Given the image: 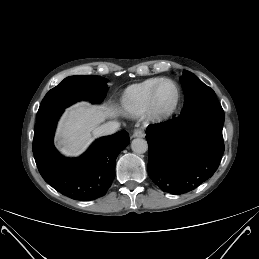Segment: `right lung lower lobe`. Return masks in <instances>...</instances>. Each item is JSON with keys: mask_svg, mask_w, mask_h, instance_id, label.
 I'll list each match as a JSON object with an SVG mask.
<instances>
[{"mask_svg": "<svg viewBox=\"0 0 259 259\" xmlns=\"http://www.w3.org/2000/svg\"><path fill=\"white\" fill-rule=\"evenodd\" d=\"M64 109L39 118L34 130L33 154L44 180L61 194L80 201L95 200L107 192L115 177L118 154L130 143L126 131L102 137L80 158L66 159L53 145L57 120Z\"/></svg>", "mask_w": 259, "mask_h": 259, "instance_id": "1", "label": "right lung lower lobe"}]
</instances>
